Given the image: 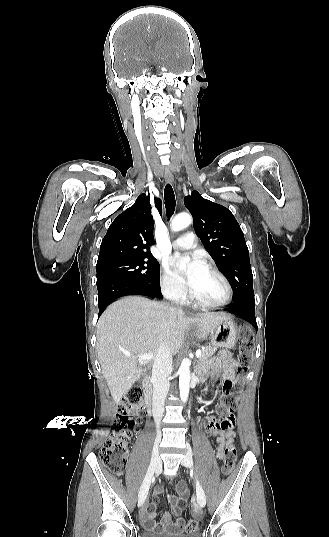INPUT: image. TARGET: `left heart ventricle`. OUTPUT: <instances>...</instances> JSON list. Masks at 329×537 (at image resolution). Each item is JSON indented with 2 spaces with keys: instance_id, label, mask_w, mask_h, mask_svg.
Segmentation results:
<instances>
[{
  "instance_id": "left-heart-ventricle-1",
  "label": "left heart ventricle",
  "mask_w": 329,
  "mask_h": 537,
  "mask_svg": "<svg viewBox=\"0 0 329 537\" xmlns=\"http://www.w3.org/2000/svg\"><path fill=\"white\" fill-rule=\"evenodd\" d=\"M192 293L208 302H220L226 297V289L220 278L204 267Z\"/></svg>"
}]
</instances>
